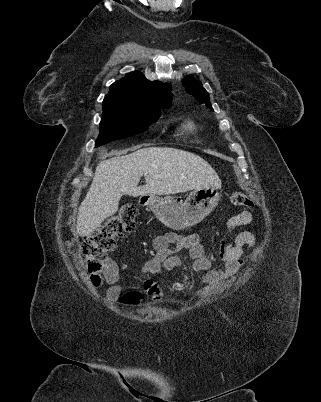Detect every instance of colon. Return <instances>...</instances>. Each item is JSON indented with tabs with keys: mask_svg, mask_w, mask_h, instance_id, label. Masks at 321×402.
<instances>
[{
	"mask_svg": "<svg viewBox=\"0 0 321 402\" xmlns=\"http://www.w3.org/2000/svg\"><path fill=\"white\" fill-rule=\"evenodd\" d=\"M230 202L234 206H251L253 204L252 200L242 192L232 193ZM135 219L136 209L131 205H125L83 238L81 252L86 272L94 286L98 287L102 284L107 255L115 249L118 238L133 230ZM139 299L140 296L137 292H130L124 296L123 302L128 305H136Z\"/></svg>",
	"mask_w": 321,
	"mask_h": 402,
	"instance_id": "obj_1",
	"label": "colon"
}]
</instances>
